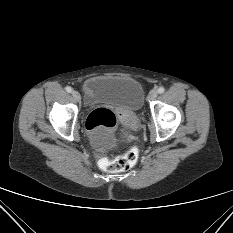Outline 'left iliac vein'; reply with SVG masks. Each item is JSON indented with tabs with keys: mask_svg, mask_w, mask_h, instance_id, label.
<instances>
[{
	"mask_svg": "<svg viewBox=\"0 0 233 233\" xmlns=\"http://www.w3.org/2000/svg\"><path fill=\"white\" fill-rule=\"evenodd\" d=\"M157 96H158V90L153 89L150 91V93L148 95V99H149V101H153L156 99Z\"/></svg>",
	"mask_w": 233,
	"mask_h": 233,
	"instance_id": "1",
	"label": "left iliac vein"
}]
</instances>
